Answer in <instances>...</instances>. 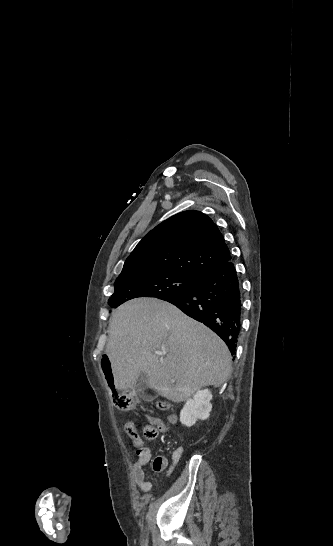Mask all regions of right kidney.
Segmentation results:
<instances>
[{
    "mask_svg": "<svg viewBox=\"0 0 333 546\" xmlns=\"http://www.w3.org/2000/svg\"><path fill=\"white\" fill-rule=\"evenodd\" d=\"M212 394L208 389L199 390L192 399L186 401L180 412V422L185 426H193L198 419L208 418L212 409L210 400Z\"/></svg>",
    "mask_w": 333,
    "mask_h": 546,
    "instance_id": "obj_1",
    "label": "right kidney"
}]
</instances>
